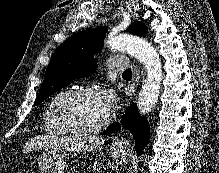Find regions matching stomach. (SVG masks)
Segmentation results:
<instances>
[{"instance_id":"1","label":"stomach","mask_w":219,"mask_h":173,"mask_svg":"<svg viewBox=\"0 0 219 173\" xmlns=\"http://www.w3.org/2000/svg\"><path fill=\"white\" fill-rule=\"evenodd\" d=\"M110 155L116 162H124L129 157V152L125 146L112 145ZM40 173H65L66 154L61 149L46 148L38 158Z\"/></svg>"}]
</instances>
